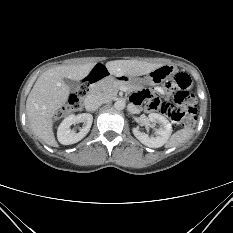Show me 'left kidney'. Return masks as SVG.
<instances>
[{"label": "left kidney", "instance_id": "1", "mask_svg": "<svg viewBox=\"0 0 233 233\" xmlns=\"http://www.w3.org/2000/svg\"><path fill=\"white\" fill-rule=\"evenodd\" d=\"M149 121L157 123L159 128L155 129V136H148L140 132L137 128H133L134 136L144 145L151 148H159L163 146L172 134V126L170 122L162 115L151 113L148 115Z\"/></svg>", "mask_w": 233, "mask_h": 233}]
</instances>
